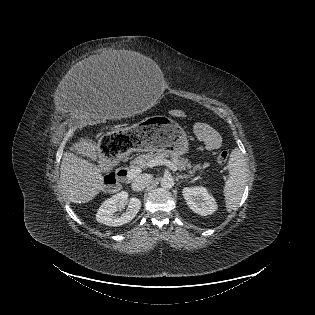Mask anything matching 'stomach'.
<instances>
[{"mask_svg":"<svg viewBox=\"0 0 315 315\" xmlns=\"http://www.w3.org/2000/svg\"><path fill=\"white\" fill-rule=\"evenodd\" d=\"M100 155L108 161L126 156L131 151L167 152L184 155L189 150L184 129L169 117L157 115L143 119L121 132L105 133L99 141Z\"/></svg>","mask_w":315,"mask_h":315,"instance_id":"0dacf381","label":"stomach"}]
</instances>
